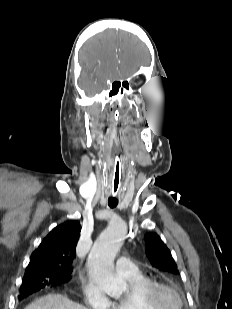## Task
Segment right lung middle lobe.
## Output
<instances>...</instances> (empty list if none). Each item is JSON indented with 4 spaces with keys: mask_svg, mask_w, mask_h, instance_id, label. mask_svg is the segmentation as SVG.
<instances>
[{
    "mask_svg": "<svg viewBox=\"0 0 232 309\" xmlns=\"http://www.w3.org/2000/svg\"><path fill=\"white\" fill-rule=\"evenodd\" d=\"M70 280V275L49 272V271H41L30 273L28 275H24L22 280V285L20 288V293L23 290L32 288L35 291H38L46 286L59 285L62 283H66ZM21 296L19 295V299Z\"/></svg>",
    "mask_w": 232,
    "mask_h": 309,
    "instance_id": "dd1d6c3e",
    "label": "right lung middle lobe"
}]
</instances>
